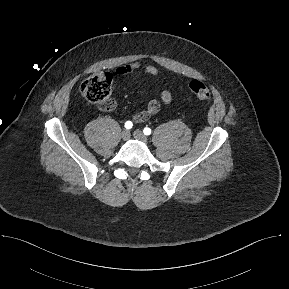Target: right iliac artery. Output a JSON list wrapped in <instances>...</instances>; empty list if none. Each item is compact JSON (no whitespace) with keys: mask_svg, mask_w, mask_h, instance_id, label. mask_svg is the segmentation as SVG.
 Segmentation results:
<instances>
[{"mask_svg":"<svg viewBox=\"0 0 289 289\" xmlns=\"http://www.w3.org/2000/svg\"><path fill=\"white\" fill-rule=\"evenodd\" d=\"M132 126H133V123H132L131 121H127V122L125 123V128H126V129H131Z\"/></svg>","mask_w":289,"mask_h":289,"instance_id":"obj_1","label":"right iliac artery"}]
</instances>
